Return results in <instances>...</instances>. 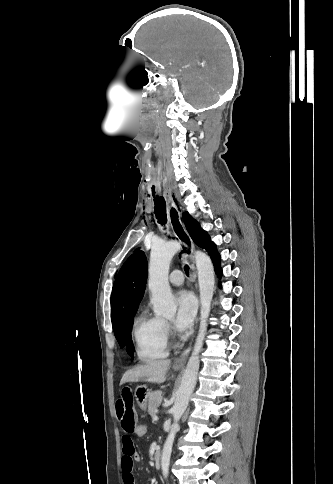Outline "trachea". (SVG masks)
Returning a JSON list of instances; mask_svg holds the SVG:
<instances>
[{
	"label": "trachea",
	"mask_w": 333,
	"mask_h": 484,
	"mask_svg": "<svg viewBox=\"0 0 333 484\" xmlns=\"http://www.w3.org/2000/svg\"><path fill=\"white\" fill-rule=\"evenodd\" d=\"M164 152L160 151L159 154L156 157V170L154 171V179H153V191L154 194L157 195L158 197L154 198V209H155V215L157 218V221L159 224L164 226V230L168 231L167 228L165 227L167 223V214H166V202L162 196L163 191H164V186H163V171L161 170V167L163 166V156ZM185 273L187 276H189V266L185 265L184 267Z\"/></svg>",
	"instance_id": "obj_1"
}]
</instances>
